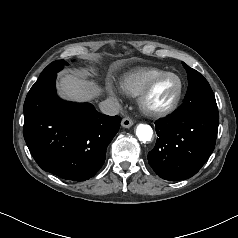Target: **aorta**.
I'll return each mask as SVG.
<instances>
[{
  "label": "aorta",
  "instance_id": "762f6f07",
  "mask_svg": "<svg viewBox=\"0 0 238 238\" xmlns=\"http://www.w3.org/2000/svg\"><path fill=\"white\" fill-rule=\"evenodd\" d=\"M136 136L142 142L150 141L153 136V130L147 124H138L136 127Z\"/></svg>",
  "mask_w": 238,
  "mask_h": 238
}]
</instances>
